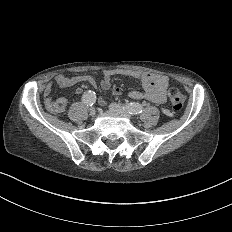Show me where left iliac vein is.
<instances>
[{"label":"left iliac vein","mask_w":232,"mask_h":232,"mask_svg":"<svg viewBox=\"0 0 232 232\" xmlns=\"http://www.w3.org/2000/svg\"><path fill=\"white\" fill-rule=\"evenodd\" d=\"M108 109L109 110H114L115 112H120L121 111V106L118 103H109L108 104Z\"/></svg>","instance_id":"left-iliac-vein-1"}]
</instances>
